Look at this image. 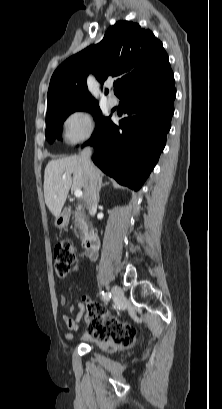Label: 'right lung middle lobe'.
Returning a JSON list of instances; mask_svg holds the SVG:
<instances>
[{"mask_svg": "<svg viewBox=\"0 0 222 409\" xmlns=\"http://www.w3.org/2000/svg\"><path fill=\"white\" fill-rule=\"evenodd\" d=\"M75 111H89L94 113V119L98 123V128L94 131L89 143H93L106 129L110 122V117H101V111L97 102L85 104H72L59 107L46 114V138L52 143L55 138H61L62 124L68 115Z\"/></svg>", "mask_w": 222, "mask_h": 409, "instance_id": "obj_1", "label": "right lung middle lobe"}]
</instances>
